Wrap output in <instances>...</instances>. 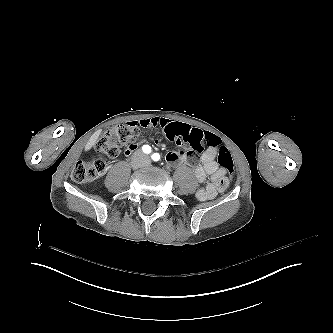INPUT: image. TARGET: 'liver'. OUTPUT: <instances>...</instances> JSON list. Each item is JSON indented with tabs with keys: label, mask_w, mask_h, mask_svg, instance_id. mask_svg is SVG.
Masks as SVG:
<instances>
[{
	"label": "liver",
	"mask_w": 333,
	"mask_h": 333,
	"mask_svg": "<svg viewBox=\"0 0 333 333\" xmlns=\"http://www.w3.org/2000/svg\"><path fill=\"white\" fill-rule=\"evenodd\" d=\"M102 131H103V129L101 128V129L96 130L92 134V136L90 137V139L88 140V142L86 143V145L84 147V152H89L93 147H95Z\"/></svg>",
	"instance_id": "obj_1"
}]
</instances>
